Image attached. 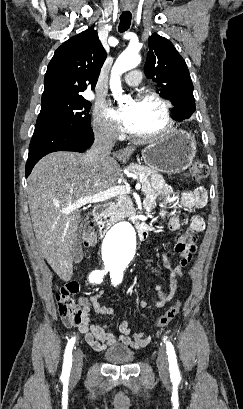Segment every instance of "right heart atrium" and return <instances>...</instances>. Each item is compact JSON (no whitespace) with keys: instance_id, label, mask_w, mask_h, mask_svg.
I'll use <instances>...</instances> for the list:
<instances>
[{"instance_id":"d8ad5b80","label":"right heart atrium","mask_w":243,"mask_h":409,"mask_svg":"<svg viewBox=\"0 0 243 409\" xmlns=\"http://www.w3.org/2000/svg\"><path fill=\"white\" fill-rule=\"evenodd\" d=\"M92 131L96 139L112 143L118 138V132L110 120L105 116L103 107L95 109L92 120Z\"/></svg>"}]
</instances>
